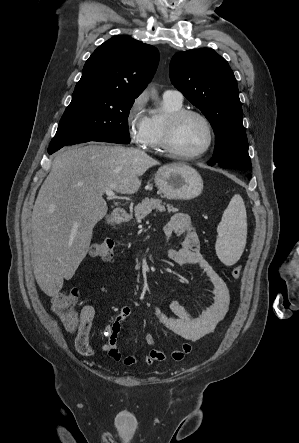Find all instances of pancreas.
I'll return each instance as SVG.
<instances>
[{"instance_id": "obj_1", "label": "pancreas", "mask_w": 299, "mask_h": 443, "mask_svg": "<svg viewBox=\"0 0 299 443\" xmlns=\"http://www.w3.org/2000/svg\"><path fill=\"white\" fill-rule=\"evenodd\" d=\"M152 210H156V212H165L167 210L169 213L178 211L177 208H174L170 204H167L165 207V204H162V201L159 199L146 198L134 208L136 221L139 222L143 220Z\"/></svg>"}]
</instances>
